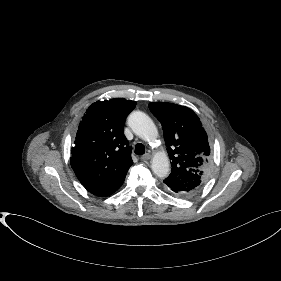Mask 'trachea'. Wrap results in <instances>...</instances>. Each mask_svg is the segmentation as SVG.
Masks as SVG:
<instances>
[{"instance_id": "trachea-1", "label": "trachea", "mask_w": 281, "mask_h": 281, "mask_svg": "<svg viewBox=\"0 0 281 281\" xmlns=\"http://www.w3.org/2000/svg\"><path fill=\"white\" fill-rule=\"evenodd\" d=\"M145 153V146L141 143H138L136 146H135V154L137 155H142Z\"/></svg>"}]
</instances>
